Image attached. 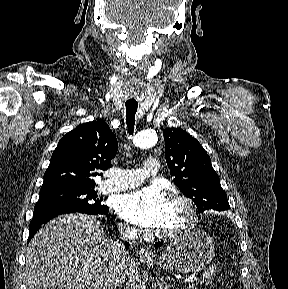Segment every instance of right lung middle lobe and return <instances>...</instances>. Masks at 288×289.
<instances>
[{"mask_svg": "<svg viewBox=\"0 0 288 289\" xmlns=\"http://www.w3.org/2000/svg\"><path fill=\"white\" fill-rule=\"evenodd\" d=\"M94 187H52L42 188L34 211L44 209H67L84 213H93L106 208L97 199Z\"/></svg>", "mask_w": 288, "mask_h": 289, "instance_id": "1", "label": "right lung middle lobe"}]
</instances>
